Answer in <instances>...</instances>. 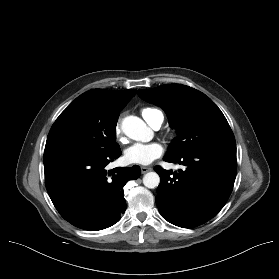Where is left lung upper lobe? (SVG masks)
I'll return each instance as SVG.
<instances>
[{"mask_svg": "<svg viewBox=\"0 0 279 279\" xmlns=\"http://www.w3.org/2000/svg\"><path fill=\"white\" fill-rule=\"evenodd\" d=\"M143 100L161 106L176 130L167 156L209 146H236L232 130L217 105L204 93L181 84L138 90Z\"/></svg>", "mask_w": 279, "mask_h": 279, "instance_id": "obj_1", "label": "left lung upper lobe"}]
</instances>
